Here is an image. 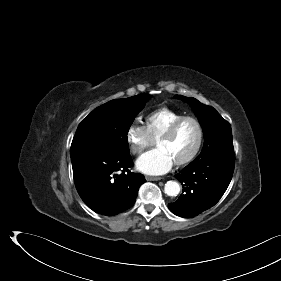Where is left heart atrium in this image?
<instances>
[{"label": "left heart atrium", "mask_w": 281, "mask_h": 281, "mask_svg": "<svg viewBox=\"0 0 281 281\" xmlns=\"http://www.w3.org/2000/svg\"><path fill=\"white\" fill-rule=\"evenodd\" d=\"M175 162L162 149H155L140 156L136 162L137 169L148 175L167 173Z\"/></svg>", "instance_id": "1"}]
</instances>
